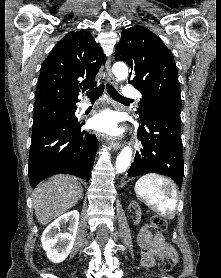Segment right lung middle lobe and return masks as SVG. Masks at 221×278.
Segmentation results:
<instances>
[{
    "mask_svg": "<svg viewBox=\"0 0 221 278\" xmlns=\"http://www.w3.org/2000/svg\"><path fill=\"white\" fill-rule=\"evenodd\" d=\"M76 105L67 101H49L34 105L33 127L54 118H75Z\"/></svg>",
    "mask_w": 221,
    "mask_h": 278,
    "instance_id": "dd1d6c3e",
    "label": "right lung middle lobe"
}]
</instances>
